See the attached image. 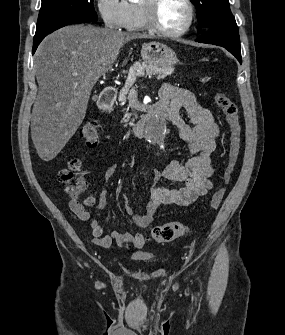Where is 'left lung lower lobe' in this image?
Returning <instances> with one entry per match:
<instances>
[{
  "instance_id": "obj_1",
  "label": "left lung lower lobe",
  "mask_w": 285,
  "mask_h": 335,
  "mask_svg": "<svg viewBox=\"0 0 285 335\" xmlns=\"http://www.w3.org/2000/svg\"><path fill=\"white\" fill-rule=\"evenodd\" d=\"M196 41L222 46L231 52L240 63L242 62L240 39L236 23L208 28Z\"/></svg>"
}]
</instances>
